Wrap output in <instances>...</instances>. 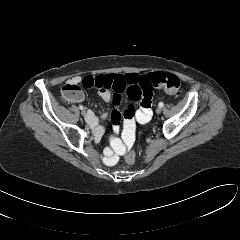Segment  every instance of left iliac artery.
<instances>
[{
	"mask_svg": "<svg viewBox=\"0 0 240 240\" xmlns=\"http://www.w3.org/2000/svg\"><path fill=\"white\" fill-rule=\"evenodd\" d=\"M163 105H164L163 102H160V103L158 104L159 107H163Z\"/></svg>",
	"mask_w": 240,
	"mask_h": 240,
	"instance_id": "left-iliac-artery-1",
	"label": "left iliac artery"
}]
</instances>
